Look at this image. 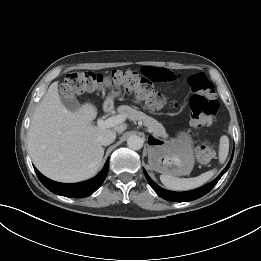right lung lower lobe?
<instances>
[{"label": "right lung lower lobe", "instance_id": "1", "mask_svg": "<svg viewBox=\"0 0 261 261\" xmlns=\"http://www.w3.org/2000/svg\"><path fill=\"white\" fill-rule=\"evenodd\" d=\"M34 169L41 183L51 192L70 198H84L95 192L105 180L109 169V159L107 160L102 171L96 177L85 182L74 184H65L52 181L43 176L35 167Z\"/></svg>", "mask_w": 261, "mask_h": 261}]
</instances>
